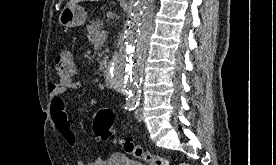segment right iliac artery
Wrapping results in <instances>:
<instances>
[{
    "instance_id": "82829eb1",
    "label": "right iliac artery",
    "mask_w": 276,
    "mask_h": 165,
    "mask_svg": "<svg viewBox=\"0 0 276 165\" xmlns=\"http://www.w3.org/2000/svg\"><path fill=\"white\" fill-rule=\"evenodd\" d=\"M138 104H139L138 100L130 99L126 101L125 109L129 111L134 110L138 106Z\"/></svg>"
}]
</instances>
